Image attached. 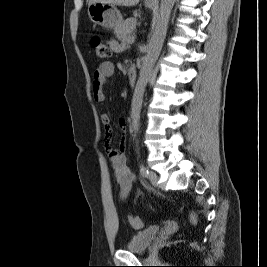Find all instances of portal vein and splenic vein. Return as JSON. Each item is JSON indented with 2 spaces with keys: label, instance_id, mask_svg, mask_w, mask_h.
I'll list each match as a JSON object with an SVG mask.
<instances>
[{
  "label": "portal vein and splenic vein",
  "instance_id": "1",
  "mask_svg": "<svg viewBox=\"0 0 267 267\" xmlns=\"http://www.w3.org/2000/svg\"><path fill=\"white\" fill-rule=\"evenodd\" d=\"M134 41H135V36H130V37H128V39H127V42L128 43H134Z\"/></svg>",
  "mask_w": 267,
  "mask_h": 267
}]
</instances>
